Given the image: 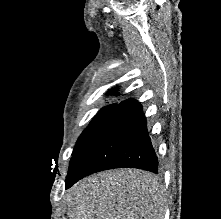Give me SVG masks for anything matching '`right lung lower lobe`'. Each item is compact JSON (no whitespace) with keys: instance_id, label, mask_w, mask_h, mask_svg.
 Returning <instances> with one entry per match:
<instances>
[{"instance_id":"98d812e1","label":"right lung lower lobe","mask_w":221,"mask_h":219,"mask_svg":"<svg viewBox=\"0 0 221 219\" xmlns=\"http://www.w3.org/2000/svg\"><path fill=\"white\" fill-rule=\"evenodd\" d=\"M158 164L142 106L127 99L116 105L73 153L66 188L107 169L130 167L158 173Z\"/></svg>"}]
</instances>
